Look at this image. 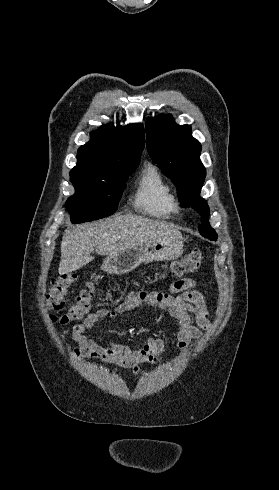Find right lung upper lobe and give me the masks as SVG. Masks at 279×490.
<instances>
[{"label": "right lung upper lobe", "instance_id": "1", "mask_svg": "<svg viewBox=\"0 0 279 490\" xmlns=\"http://www.w3.org/2000/svg\"><path fill=\"white\" fill-rule=\"evenodd\" d=\"M90 136V141L78 149L77 165L70 174L104 176L124 167L138 166L144 148L142 124L115 127L110 123Z\"/></svg>", "mask_w": 279, "mask_h": 490}]
</instances>
